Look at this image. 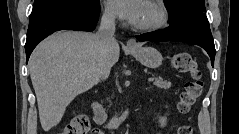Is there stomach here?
Returning a JSON list of instances; mask_svg holds the SVG:
<instances>
[{
    "label": "stomach",
    "instance_id": "1",
    "mask_svg": "<svg viewBox=\"0 0 239 134\" xmlns=\"http://www.w3.org/2000/svg\"><path fill=\"white\" fill-rule=\"evenodd\" d=\"M130 53L144 66L148 68H158L162 64L161 53L153 47H138L130 49Z\"/></svg>",
    "mask_w": 239,
    "mask_h": 134
}]
</instances>
